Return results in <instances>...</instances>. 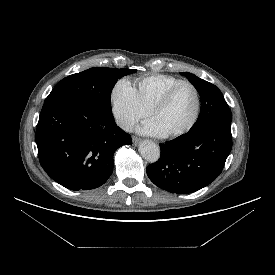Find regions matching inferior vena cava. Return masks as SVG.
<instances>
[{"label": "inferior vena cava", "mask_w": 275, "mask_h": 275, "mask_svg": "<svg viewBox=\"0 0 275 275\" xmlns=\"http://www.w3.org/2000/svg\"><path fill=\"white\" fill-rule=\"evenodd\" d=\"M117 124L125 131H132L134 127V123L125 118L117 119Z\"/></svg>", "instance_id": "1"}]
</instances>
